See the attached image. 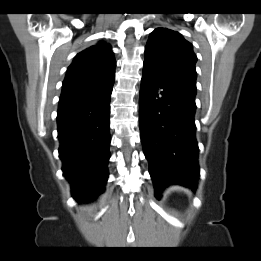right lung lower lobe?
<instances>
[{"mask_svg":"<svg viewBox=\"0 0 261 261\" xmlns=\"http://www.w3.org/2000/svg\"><path fill=\"white\" fill-rule=\"evenodd\" d=\"M112 87L113 84L59 100V156L76 201L94 200L104 191L108 179Z\"/></svg>","mask_w":261,"mask_h":261,"instance_id":"98d812e1","label":"right lung lower lobe"}]
</instances>
